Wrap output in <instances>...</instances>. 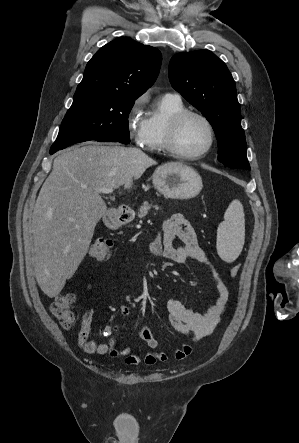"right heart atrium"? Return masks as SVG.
Here are the masks:
<instances>
[{
  "mask_svg": "<svg viewBox=\"0 0 299 443\" xmlns=\"http://www.w3.org/2000/svg\"><path fill=\"white\" fill-rule=\"evenodd\" d=\"M145 101V95L137 97L131 103L126 113V126L128 134L137 144H141L146 129V118L143 116Z\"/></svg>",
  "mask_w": 299,
  "mask_h": 443,
  "instance_id": "right-heart-atrium-1",
  "label": "right heart atrium"
}]
</instances>
